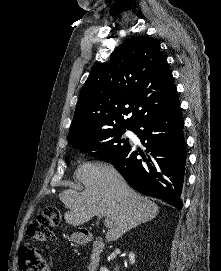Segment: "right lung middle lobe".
<instances>
[{
    "instance_id": "dd1d6c3e",
    "label": "right lung middle lobe",
    "mask_w": 221,
    "mask_h": 271,
    "mask_svg": "<svg viewBox=\"0 0 221 271\" xmlns=\"http://www.w3.org/2000/svg\"><path fill=\"white\" fill-rule=\"evenodd\" d=\"M126 129L134 131L135 127L115 126L70 142L73 143L74 148L83 153H89L98 159L113 163L131 147L128 139H121V135L125 133Z\"/></svg>"
}]
</instances>
